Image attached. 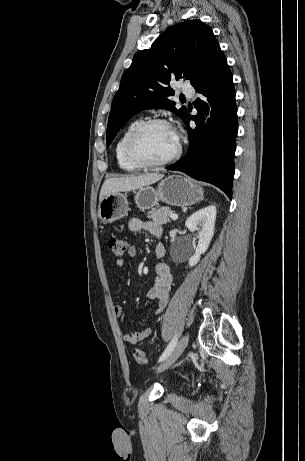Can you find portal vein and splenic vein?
Instances as JSON below:
<instances>
[{"label": "portal vein and splenic vein", "instance_id": "18ae733b", "mask_svg": "<svg viewBox=\"0 0 305 461\" xmlns=\"http://www.w3.org/2000/svg\"><path fill=\"white\" fill-rule=\"evenodd\" d=\"M170 218H171L172 220H177V219H178V215L172 213V214L170 215Z\"/></svg>", "mask_w": 305, "mask_h": 461}]
</instances>
